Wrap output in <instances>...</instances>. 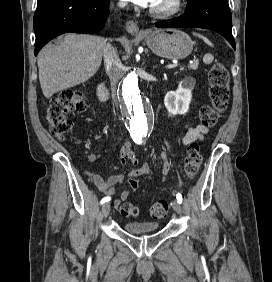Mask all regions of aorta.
<instances>
[{"instance_id":"obj_1","label":"aorta","mask_w":272,"mask_h":282,"mask_svg":"<svg viewBox=\"0 0 272 282\" xmlns=\"http://www.w3.org/2000/svg\"><path fill=\"white\" fill-rule=\"evenodd\" d=\"M120 91L123 114L131 137L146 138L152 129L154 112L134 72L123 79Z\"/></svg>"}]
</instances>
